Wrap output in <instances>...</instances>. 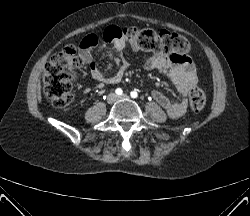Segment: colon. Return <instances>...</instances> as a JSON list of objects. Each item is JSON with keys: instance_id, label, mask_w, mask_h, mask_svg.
Here are the masks:
<instances>
[{"instance_id": "colon-1", "label": "colon", "mask_w": 250, "mask_h": 216, "mask_svg": "<svg viewBox=\"0 0 250 216\" xmlns=\"http://www.w3.org/2000/svg\"><path fill=\"white\" fill-rule=\"evenodd\" d=\"M103 38L107 42L123 39L140 50L162 55L186 56L190 51L189 41L184 36L167 30L157 32L148 28L119 29L111 26L104 31ZM82 64L73 47H67L51 57L45 67L43 85L45 95L53 106L65 108L72 102V77ZM189 101L192 111L200 112L206 103L204 91L197 85L192 86Z\"/></svg>"}]
</instances>
